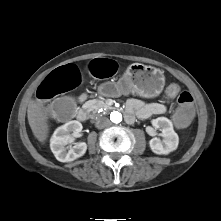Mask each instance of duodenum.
<instances>
[{"mask_svg": "<svg viewBox=\"0 0 221 221\" xmlns=\"http://www.w3.org/2000/svg\"><path fill=\"white\" fill-rule=\"evenodd\" d=\"M76 118L77 120L84 122L87 119V113L83 109H79L76 111ZM126 119L131 122L133 120V115L126 112Z\"/></svg>", "mask_w": 221, "mask_h": 221, "instance_id": "obj_1", "label": "duodenum"}]
</instances>
